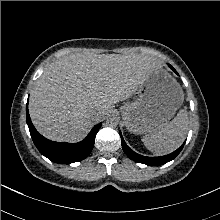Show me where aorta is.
<instances>
[{
	"mask_svg": "<svg viewBox=\"0 0 220 220\" xmlns=\"http://www.w3.org/2000/svg\"><path fill=\"white\" fill-rule=\"evenodd\" d=\"M106 123L109 125V126H112V127H115L118 125L119 123V117L115 114H111L107 117V120H106Z\"/></svg>",
	"mask_w": 220,
	"mask_h": 220,
	"instance_id": "aorta-1",
	"label": "aorta"
}]
</instances>
